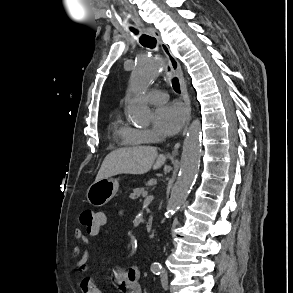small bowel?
<instances>
[{
  "label": "small bowel",
  "mask_w": 293,
  "mask_h": 293,
  "mask_svg": "<svg viewBox=\"0 0 293 293\" xmlns=\"http://www.w3.org/2000/svg\"><path fill=\"white\" fill-rule=\"evenodd\" d=\"M97 215L101 219V227H103L107 222L106 215L102 212H97ZM101 227L94 232L87 231L86 234L80 228L75 229L74 234L78 244L74 246L73 253L80 256L76 263L80 271H85L87 269L90 259V253L87 250H82L80 243L89 244L90 237H97L100 235ZM112 281L121 293H142L140 271L137 267H117L113 271ZM93 286H96V284L91 278H84L80 282L82 293H91V288ZM98 293H101V291L99 290Z\"/></svg>",
  "instance_id": "small-bowel-1"
}]
</instances>
